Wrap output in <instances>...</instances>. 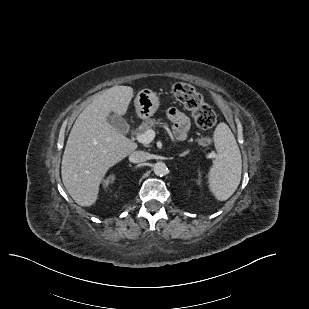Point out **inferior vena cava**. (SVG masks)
Wrapping results in <instances>:
<instances>
[{
	"label": "inferior vena cava",
	"instance_id": "602c4592",
	"mask_svg": "<svg viewBox=\"0 0 309 309\" xmlns=\"http://www.w3.org/2000/svg\"><path fill=\"white\" fill-rule=\"evenodd\" d=\"M149 159V154L145 151H134L130 155V161L133 163H141Z\"/></svg>",
	"mask_w": 309,
	"mask_h": 309
}]
</instances>
